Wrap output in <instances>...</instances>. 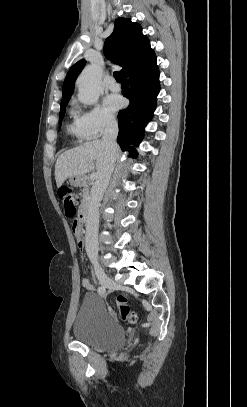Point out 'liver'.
<instances>
[{"label": "liver", "instance_id": "obj_1", "mask_svg": "<svg viewBox=\"0 0 247 407\" xmlns=\"http://www.w3.org/2000/svg\"><path fill=\"white\" fill-rule=\"evenodd\" d=\"M108 160V151L101 140L85 143L62 153L55 164V180L60 187L68 177L84 176L94 169L96 161L98 176ZM97 176V177H98Z\"/></svg>", "mask_w": 247, "mask_h": 407}]
</instances>
